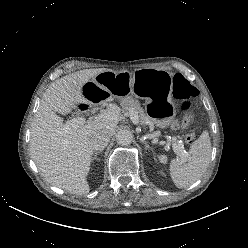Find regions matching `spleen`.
Segmentation results:
<instances>
[{"instance_id":"1","label":"spleen","mask_w":248,"mask_h":248,"mask_svg":"<svg viewBox=\"0 0 248 248\" xmlns=\"http://www.w3.org/2000/svg\"><path fill=\"white\" fill-rule=\"evenodd\" d=\"M211 141L209 133L203 131L200 137L192 143L187 156L177 157L170 162V175L178 188L191 186L206 172L211 159ZM160 163H167L166 155H159Z\"/></svg>"}]
</instances>
